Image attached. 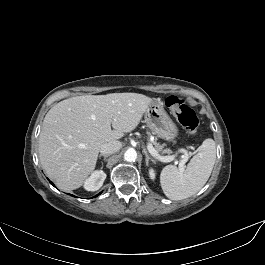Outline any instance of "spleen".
I'll list each match as a JSON object with an SVG mask.
<instances>
[{"instance_id":"1","label":"spleen","mask_w":265,"mask_h":265,"mask_svg":"<svg viewBox=\"0 0 265 265\" xmlns=\"http://www.w3.org/2000/svg\"><path fill=\"white\" fill-rule=\"evenodd\" d=\"M215 161V141L205 139L184 172L174 165L163 168L160 183L164 194L171 200H182L194 195L209 179Z\"/></svg>"}]
</instances>
